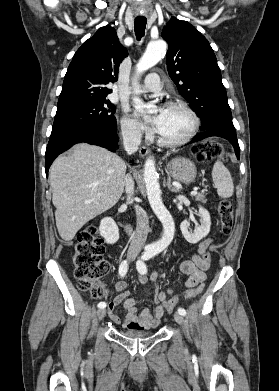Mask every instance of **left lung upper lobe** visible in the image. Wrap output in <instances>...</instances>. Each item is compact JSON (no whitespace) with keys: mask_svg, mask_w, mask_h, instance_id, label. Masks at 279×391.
I'll list each match as a JSON object with an SVG mask.
<instances>
[{"mask_svg":"<svg viewBox=\"0 0 279 391\" xmlns=\"http://www.w3.org/2000/svg\"><path fill=\"white\" fill-rule=\"evenodd\" d=\"M162 37L169 45V76L200 117L201 130L235 132L221 71L207 39L190 23L174 17L164 26Z\"/></svg>","mask_w":279,"mask_h":391,"instance_id":"1","label":"left lung upper lobe"}]
</instances>
